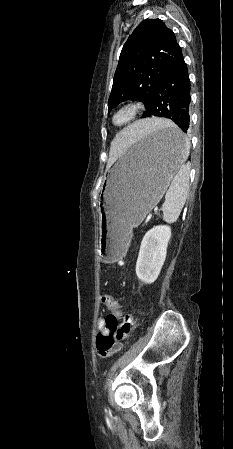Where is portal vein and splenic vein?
<instances>
[{
  "label": "portal vein and splenic vein",
  "instance_id": "portal-vein-and-splenic-vein-1",
  "mask_svg": "<svg viewBox=\"0 0 233 449\" xmlns=\"http://www.w3.org/2000/svg\"><path fill=\"white\" fill-rule=\"evenodd\" d=\"M159 211V207L154 208V212L157 213Z\"/></svg>",
  "mask_w": 233,
  "mask_h": 449
}]
</instances>
